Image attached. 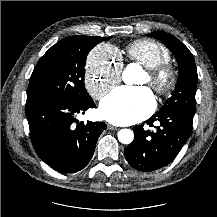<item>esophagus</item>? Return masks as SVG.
<instances>
[{
  "mask_svg": "<svg viewBox=\"0 0 217 217\" xmlns=\"http://www.w3.org/2000/svg\"><path fill=\"white\" fill-rule=\"evenodd\" d=\"M107 128H108V130H116L117 129V127L110 125V124L107 125Z\"/></svg>",
  "mask_w": 217,
  "mask_h": 217,
  "instance_id": "1",
  "label": "esophagus"
}]
</instances>
